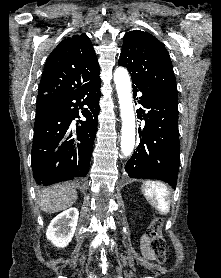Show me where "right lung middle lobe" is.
Returning a JSON list of instances; mask_svg holds the SVG:
<instances>
[{
    "label": "right lung middle lobe",
    "mask_w": 221,
    "mask_h": 278,
    "mask_svg": "<svg viewBox=\"0 0 221 278\" xmlns=\"http://www.w3.org/2000/svg\"><path fill=\"white\" fill-rule=\"evenodd\" d=\"M45 111H46V110L43 109V108H37V109H36V115L41 114V113H43V112H45Z\"/></svg>",
    "instance_id": "1"
}]
</instances>
